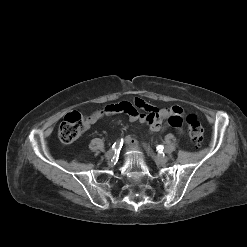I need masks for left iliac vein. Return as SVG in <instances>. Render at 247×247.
<instances>
[{
  "label": "left iliac vein",
  "instance_id": "1",
  "mask_svg": "<svg viewBox=\"0 0 247 247\" xmlns=\"http://www.w3.org/2000/svg\"><path fill=\"white\" fill-rule=\"evenodd\" d=\"M146 151L148 154H150L155 159L156 162H158L160 164H165L169 160V158L167 156L155 155L149 147L146 148Z\"/></svg>",
  "mask_w": 247,
  "mask_h": 247
}]
</instances>
